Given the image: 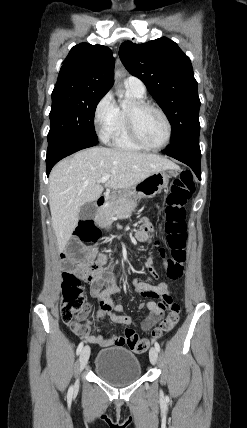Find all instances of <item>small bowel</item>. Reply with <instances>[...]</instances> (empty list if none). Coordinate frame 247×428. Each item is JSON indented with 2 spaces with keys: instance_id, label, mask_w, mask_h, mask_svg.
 <instances>
[{
  "instance_id": "small-bowel-1",
  "label": "small bowel",
  "mask_w": 247,
  "mask_h": 428,
  "mask_svg": "<svg viewBox=\"0 0 247 428\" xmlns=\"http://www.w3.org/2000/svg\"><path fill=\"white\" fill-rule=\"evenodd\" d=\"M135 237L140 242L147 241L149 237L147 228L139 229L136 232ZM106 261H107L106 255L104 254L99 255L98 257L99 265H105ZM153 261H154V257L153 255H150L146 260L145 269L152 270ZM75 273L80 278L84 279L85 274H84V269L82 265H79V264L76 265ZM134 286H135L136 293L141 297L151 298L153 300L154 298L171 299V291H170L169 285L166 282H161L155 286H152L145 282L136 280L134 282ZM103 287H106L105 291L102 290ZM90 292L93 297L99 300L102 306V313H106L111 321L118 324H125V325H131L133 323V320L130 316L118 314L119 312L122 311L123 306L122 304L117 303L113 300V295L119 292V288L114 283L113 275L111 271L109 270L100 271L99 280L95 283L90 284ZM143 306L145 307V303ZM147 309L149 310V308ZM89 310L90 308L87 306L86 315L89 312ZM148 318L149 316L144 321H146ZM82 326H83V329L81 331H77L73 328L71 329L79 337L85 338L88 342L98 344L101 347H108L114 344L113 340L105 339L101 335H91L86 333L85 325L82 324Z\"/></svg>"
}]
</instances>
